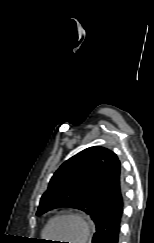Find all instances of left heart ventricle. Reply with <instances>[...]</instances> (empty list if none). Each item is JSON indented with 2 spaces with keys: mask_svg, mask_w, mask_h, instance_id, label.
Returning <instances> with one entry per match:
<instances>
[{
  "mask_svg": "<svg viewBox=\"0 0 154 243\" xmlns=\"http://www.w3.org/2000/svg\"><path fill=\"white\" fill-rule=\"evenodd\" d=\"M80 233V226L73 219H58L49 230V236L57 239L69 238V243H78Z\"/></svg>",
  "mask_w": 154,
  "mask_h": 243,
  "instance_id": "b2bd125f",
  "label": "left heart ventricle"
}]
</instances>
